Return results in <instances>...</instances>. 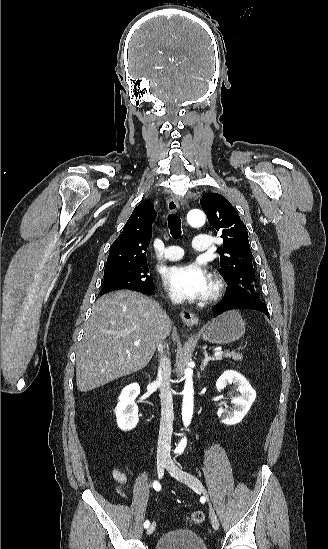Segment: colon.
<instances>
[{
	"label": "colon",
	"mask_w": 328,
	"mask_h": 549,
	"mask_svg": "<svg viewBox=\"0 0 328 549\" xmlns=\"http://www.w3.org/2000/svg\"><path fill=\"white\" fill-rule=\"evenodd\" d=\"M204 514L200 511H194L188 516V521L194 524H201L204 521Z\"/></svg>",
	"instance_id": "colon-1"
}]
</instances>
